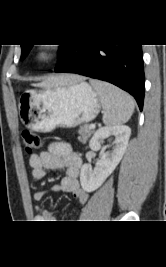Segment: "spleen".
Instances as JSON below:
<instances>
[{
	"label": "spleen",
	"mask_w": 166,
	"mask_h": 267,
	"mask_svg": "<svg viewBox=\"0 0 166 267\" xmlns=\"http://www.w3.org/2000/svg\"><path fill=\"white\" fill-rule=\"evenodd\" d=\"M90 83L100 97L105 125H121L131 118L135 102L129 94L106 82L90 80Z\"/></svg>",
	"instance_id": "spleen-1"
}]
</instances>
